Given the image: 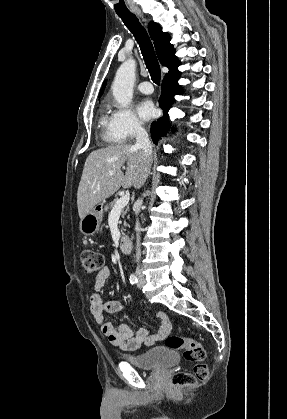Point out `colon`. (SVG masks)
<instances>
[{
  "label": "colon",
  "instance_id": "colon-1",
  "mask_svg": "<svg viewBox=\"0 0 287 419\" xmlns=\"http://www.w3.org/2000/svg\"><path fill=\"white\" fill-rule=\"evenodd\" d=\"M80 264L86 275H92L104 268V257L94 249H84L79 256ZM165 345L173 350L182 351L184 358L194 363L193 372H178L172 376V383L178 387L194 386L208 376L203 346L191 339L178 335H168Z\"/></svg>",
  "mask_w": 287,
  "mask_h": 419
}]
</instances>
